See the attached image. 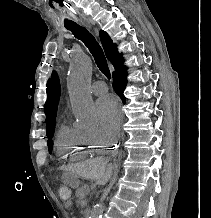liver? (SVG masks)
<instances>
[{"mask_svg":"<svg viewBox=\"0 0 211 218\" xmlns=\"http://www.w3.org/2000/svg\"><path fill=\"white\" fill-rule=\"evenodd\" d=\"M107 162L103 158H94V160H87L80 168L81 174L86 176L88 180H96V184H106L108 176L112 170V166H108L106 170Z\"/></svg>","mask_w":211,"mask_h":218,"instance_id":"6515ba94","label":"liver"}]
</instances>
